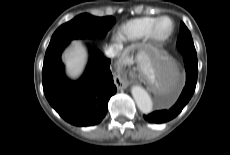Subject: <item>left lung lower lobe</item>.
<instances>
[{
  "label": "left lung lower lobe",
  "instance_id": "left-lung-lower-lobe-1",
  "mask_svg": "<svg viewBox=\"0 0 230 155\" xmlns=\"http://www.w3.org/2000/svg\"><path fill=\"white\" fill-rule=\"evenodd\" d=\"M182 55L186 70L185 87L177 102L170 109L159 110L148 115H144V119L149 123H164L175 118L189 102L195 91L198 75V61L196 50L184 52L182 53Z\"/></svg>",
  "mask_w": 230,
  "mask_h": 155
}]
</instances>
